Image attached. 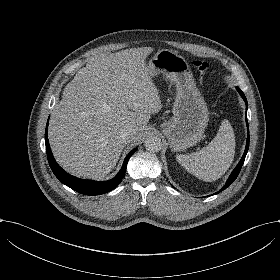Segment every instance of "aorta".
Masks as SVG:
<instances>
[{
  "label": "aorta",
  "mask_w": 280,
  "mask_h": 280,
  "mask_svg": "<svg viewBox=\"0 0 280 280\" xmlns=\"http://www.w3.org/2000/svg\"><path fill=\"white\" fill-rule=\"evenodd\" d=\"M145 148L151 153H155L161 150L162 142L158 136H148L144 142Z\"/></svg>",
  "instance_id": "1"
}]
</instances>
